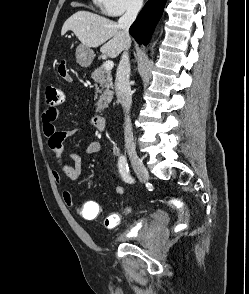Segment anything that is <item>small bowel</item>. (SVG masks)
<instances>
[{
	"instance_id": "small-bowel-1",
	"label": "small bowel",
	"mask_w": 249,
	"mask_h": 294,
	"mask_svg": "<svg viewBox=\"0 0 249 294\" xmlns=\"http://www.w3.org/2000/svg\"><path fill=\"white\" fill-rule=\"evenodd\" d=\"M61 77L68 82L71 81V77L68 73ZM57 118L58 109L56 106H46L42 111L41 125L43 133L47 140L48 151L55 162V167L51 169V176L57 184L62 183L63 175L66 176L69 180L77 182L80 180L82 175L81 157L79 152L83 151L88 155L96 154L100 151L101 143L100 141L93 139L82 148H74L73 151L67 156L68 159L73 161V165L67 164L64 161V142L77 135L82 130V128L77 127L66 131L58 130L56 126ZM114 191L119 196H123L125 194V189L121 185H115ZM62 198L68 207L73 208L76 206L75 199L69 191H63ZM98 206L99 204L94 201H87L82 204L83 213L79 215L86 220L95 219L99 216V213H95L93 216H91L90 212L95 210V208ZM161 215L162 213H158L157 216ZM119 222L120 215L118 213L110 214L104 219V225L108 229L116 228Z\"/></svg>"
}]
</instances>
